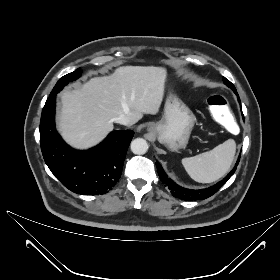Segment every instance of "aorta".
Returning a JSON list of instances; mask_svg holds the SVG:
<instances>
[{
    "label": "aorta",
    "instance_id": "762f6f07",
    "mask_svg": "<svg viewBox=\"0 0 280 280\" xmlns=\"http://www.w3.org/2000/svg\"><path fill=\"white\" fill-rule=\"evenodd\" d=\"M130 148L134 154L142 155L147 152L148 143L143 138H136L131 142Z\"/></svg>",
    "mask_w": 280,
    "mask_h": 280
}]
</instances>
